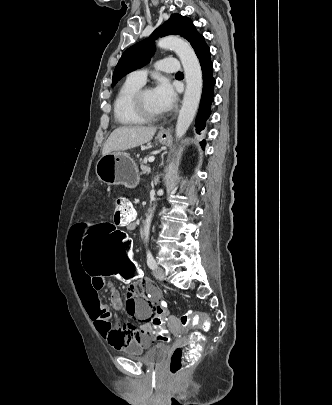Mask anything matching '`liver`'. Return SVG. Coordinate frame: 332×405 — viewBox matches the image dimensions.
I'll use <instances>...</instances> for the list:
<instances>
[{
  "instance_id": "1",
  "label": "liver",
  "mask_w": 332,
  "mask_h": 405,
  "mask_svg": "<svg viewBox=\"0 0 332 405\" xmlns=\"http://www.w3.org/2000/svg\"><path fill=\"white\" fill-rule=\"evenodd\" d=\"M157 128L147 126H122L116 128L106 140L102 155L128 150L150 142Z\"/></svg>"
}]
</instances>
